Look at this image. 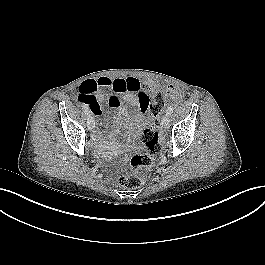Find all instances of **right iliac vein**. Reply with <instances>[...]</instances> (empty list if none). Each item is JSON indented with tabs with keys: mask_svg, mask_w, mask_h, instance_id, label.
Segmentation results:
<instances>
[{
	"mask_svg": "<svg viewBox=\"0 0 265 265\" xmlns=\"http://www.w3.org/2000/svg\"><path fill=\"white\" fill-rule=\"evenodd\" d=\"M87 128L92 131L94 129V119L92 116H88L87 118Z\"/></svg>",
	"mask_w": 265,
	"mask_h": 265,
	"instance_id": "1",
	"label": "right iliac vein"
}]
</instances>
